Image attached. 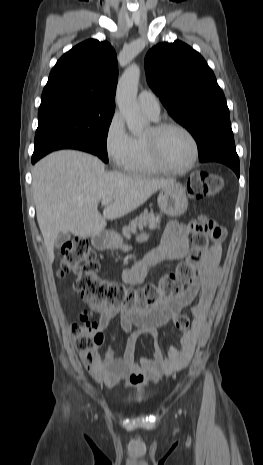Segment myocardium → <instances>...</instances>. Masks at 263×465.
<instances>
[{"instance_id":"obj_1","label":"myocardium","mask_w":263,"mask_h":465,"mask_svg":"<svg viewBox=\"0 0 263 465\" xmlns=\"http://www.w3.org/2000/svg\"><path fill=\"white\" fill-rule=\"evenodd\" d=\"M168 129H178L185 133L193 145V156L190 162L184 167H173L168 165L162 158L160 152V137ZM144 142L147 147L148 155L152 163L160 170L169 173H186L193 169L199 159L200 147L197 138L186 126L174 122L163 121L155 123L149 133L144 136Z\"/></svg>"}]
</instances>
